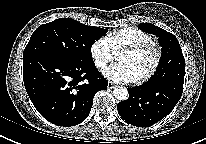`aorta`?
Here are the masks:
<instances>
[{"mask_svg":"<svg viewBox=\"0 0 206 144\" xmlns=\"http://www.w3.org/2000/svg\"><path fill=\"white\" fill-rule=\"evenodd\" d=\"M113 95L120 101L127 100L129 97L128 90L125 87H117L113 91Z\"/></svg>","mask_w":206,"mask_h":144,"instance_id":"1","label":"aorta"}]
</instances>
